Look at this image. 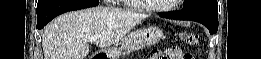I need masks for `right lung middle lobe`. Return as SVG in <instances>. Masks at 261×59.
Instances as JSON below:
<instances>
[{"instance_id": "dd1d6c3e", "label": "right lung middle lobe", "mask_w": 261, "mask_h": 59, "mask_svg": "<svg viewBox=\"0 0 261 59\" xmlns=\"http://www.w3.org/2000/svg\"><path fill=\"white\" fill-rule=\"evenodd\" d=\"M54 1L55 0H38L37 11H40L45 6H47L48 4H50V3L54 2Z\"/></svg>"}]
</instances>
